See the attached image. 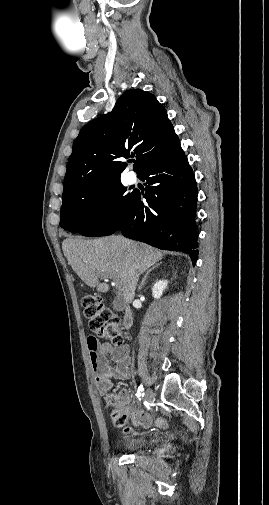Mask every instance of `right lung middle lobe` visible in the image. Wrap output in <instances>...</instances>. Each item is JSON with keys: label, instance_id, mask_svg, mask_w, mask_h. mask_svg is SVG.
Listing matches in <instances>:
<instances>
[{"label": "right lung middle lobe", "instance_id": "obj_1", "mask_svg": "<svg viewBox=\"0 0 269 505\" xmlns=\"http://www.w3.org/2000/svg\"><path fill=\"white\" fill-rule=\"evenodd\" d=\"M127 188L120 180L101 187L81 191L65 200L61 207L60 226L83 236L97 237L112 234L121 224L126 208L134 192L126 194ZM109 202V210L102 212Z\"/></svg>", "mask_w": 269, "mask_h": 505}]
</instances>
